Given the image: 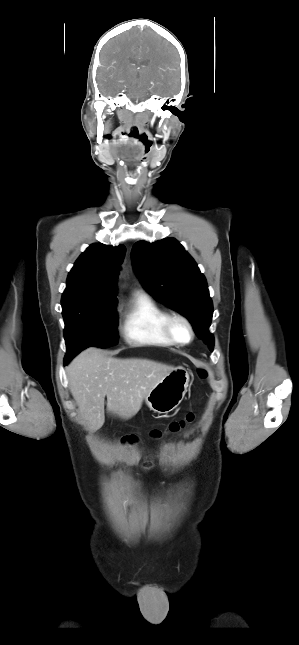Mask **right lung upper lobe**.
<instances>
[{"label":"right lung upper lobe","instance_id":"cb5924a9","mask_svg":"<svg viewBox=\"0 0 299 645\" xmlns=\"http://www.w3.org/2000/svg\"><path fill=\"white\" fill-rule=\"evenodd\" d=\"M125 250L123 245H90L69 272L61 303L116 300V280Z\"/></svg>","mask_w":299,"mask_h":645}]
</instances>
